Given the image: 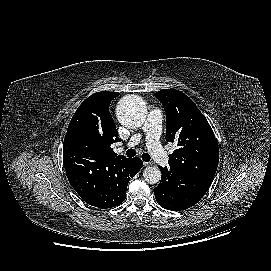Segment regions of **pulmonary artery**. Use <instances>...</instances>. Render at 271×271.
Wrapping results in <instances>:
<instances>
[{"label":"pulmonary artery","mask_w":271,"mask_h":271,"mask_svg":"<svg viewBox=\"0 0 271 271\" xmlns=\"http://www.w3.org/2000/svg\"><path fill=\"white\" fill-rule=\"evenodd\" d=\"M163 116L159 110L149 112L147 119L142 126L141 132L134 134L127 143V146H135L142 137H145L146 146L153 159L160 165H167L169 156L160 144Z\"/></svg>","instance_id":"pulmonary-artery-1"}]
</instances>
